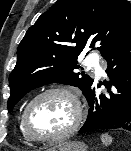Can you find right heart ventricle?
Instances as JSON below:
<instances>
[{
    "label": "right heart ventricle",
    "mask_w": 131,
    "mask_h": 151,
    "mask_svg": "<svg viewBox=\"0 0 131 151\" xmlns=\"http://www.w3.org/2000/svg\"><path fill=\"white\" fill-rule=\"evenodd\" d=\"M19 130H20V133H21L23 139H24L25 141H30V140L25 136V134L23 133L22 126H21V120H20V122H19Z\"/></svg>",
    "instance_id": "1"
}]
</instances>
